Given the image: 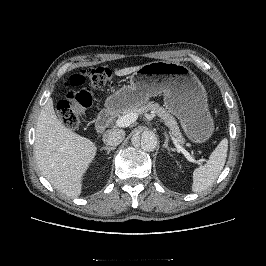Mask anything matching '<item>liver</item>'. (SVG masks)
<instances>
[{
	"label": "liver",
	"instance_id": "6515ba94",
	"mask_svg": "<svg viewBox=\"0 0 266 266\" xmlns=\"http://www.w3.org/2000/svg\"><path fill=\"white\" fill-rule=\"evenodd\" d=\"M141 66L115 71L125 76ZM97 147L88 138L67 129L57 118L53 100L49 98L38 117L34 154L41 174L60 193L77 198L82 192V180L96 155Z\"/></svg>",
	"mask_w": 266,
	"mask_h": 266
}]
</instances>
